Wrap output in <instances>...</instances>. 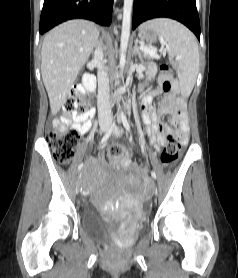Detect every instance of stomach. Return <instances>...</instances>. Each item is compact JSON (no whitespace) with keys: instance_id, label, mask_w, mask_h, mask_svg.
<instances>
[{"instance_id":"0dacf381","label":"stomach","mask_w":238,"mask_h":278,"mask_svg":"<svg viewBox=\"0 0 238 278\" xmlns=\"http://www.w3.org/2000/svg\"><path fill=\"white\" fill-rule=\"evenodd\" d=\"M159 37V33L147 26H141L139 28V38L146 40L149 43L156 42L157 38Z\"/></svg>"}]
</instances>
